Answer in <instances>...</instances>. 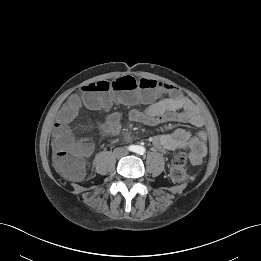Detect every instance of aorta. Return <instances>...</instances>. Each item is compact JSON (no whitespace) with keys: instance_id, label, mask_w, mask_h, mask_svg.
I'll return each instance as SVG.
<instances>
[{"instance_id":"762f6f07","label":"aorta","mask_w":261,"mask_h":261,"mask_svg":"<svg viewBox=\"0 0 261 261\" xmlns=\"http://www.w3.org/2000/svg\"><path fill=\"white\" fill-rule=\"evenodd\" d=\"M145 149L142 146H137V152L138 153H144Z\"/></svg>"}]
</instances>
